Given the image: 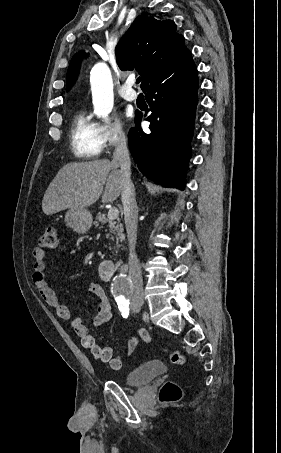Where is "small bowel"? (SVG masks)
Segmentation results:
<instances>
[{"mask_svg":"<svg viewBox=\"0 0 281 453\" xmlns=\"http://www.w3.org/2000/svg\"><path fill=\"white\" fill-rule=\"evenodd\" d=\"M33 268L31 273L32 281L35 284L38 294L42 299L51 307L58 317L67 322L76 332L77 336L81 338L83 347L93 354L100 362L109 363L110 367L114 370L121 368L123 363V356L116 355L113 349L108 346L100 345L96 342L95 338L91 335L90 329L82 323L78 317L72 316L69 309L61 304L58 297L50 288L47 278L46 270L48 266V256L41 248H34L32 250ZM87 290L99 297L98 304L91 325L94 328H100L108 322L112 317V304L105 296L103 288L97 283H89ZM148 341L149 335L145 329H138L136 335L133 336L124 348V356L130 357L138 346L139 339Z\"/></svg>","mask_w":281,"mask_h":453,"instance_id":"c3829d8e","label":"small bowel"}]
</instances>
